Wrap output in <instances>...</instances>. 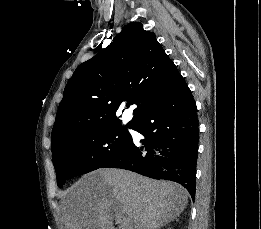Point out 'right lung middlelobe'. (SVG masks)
I'll list each match as a JSON object with an SVG mask.
<instances>
[{"instance_id": "1", "label": "right lung middle lobe", "mask_w": 261, "mask_h": 229, "mask_svg": "<svg viewBox=\"0 0 261 229\" xmlns=\"http://www.w3.org/2000/svg\"><path fill=\"white\" fill-rule=\"evenodd\" d=\"M132 143L131 135L111 126L80 128L52 150L58 186L101 168Z\"/></svg>"}]
</instances>
